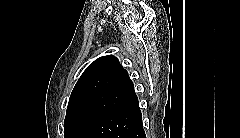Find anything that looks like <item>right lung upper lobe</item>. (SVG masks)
I'll return each instance as SVG.
<instances>
[{
	"label": "right lung upper lobe",
	"mask_w": 240,
	"mask_h": 138,
	"mask_svg": "<svg viewBox=\"0 0 240 138\" xmlns=\"http://www.w3.org/2000/svg\"><path fill=\"white\" fill-rule=\"evenodd\" d=\"M137 96L127 71L115 56H103L90 64L76 83L66 117L84 113L110 114Z\"/></svg>",
	"instance_id": "cb5924a9"
}]
</instances>
